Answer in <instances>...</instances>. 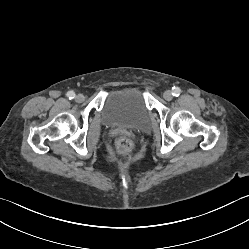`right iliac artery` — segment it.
Returning a JSON list of instances; mask_svg holds the SVG:
<instances>
[{"label": "right iliac artery", "instance_id": "right-iliac-artery-1", "mask_svg": "<svg viewBox=\"0 0 249 249\" xmlns=\"http://www.w3.org/2000/svg\"><path fill=\"white\" fill-rule=\"evenodd\" d=\"M67 97H68L69 99H73V98L75 97V93H74L73 91H69V92L67 93Z\"/></svg>", "mask_w": 249, "mask_h": 249}]
</instances>
